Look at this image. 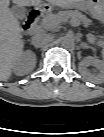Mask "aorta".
<instances>
[{
  "mask_svg": "<svg viewBox=\"0 0 104 137\" xmlns=\"http://www.w3.org/2000/svg\"><path fill=\"white\" fill-rule=\"evenodd\" d=\"M61 44L64 48H73L75 46V39L72 36L66 35L61 38Z\"/></svg>",
  "mask_w": 104,
  "mask_h": 137,
  "instance_id": "aorta-1",
  "label": "aorta"
}]
</instances>
